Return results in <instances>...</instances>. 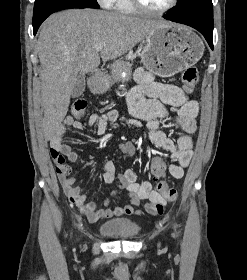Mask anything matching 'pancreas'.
Masks as SVG:
<instances>
[{
  "label": "pancreas",
  "instance_id": "obj_1",
  "mask_svg": "<svg viewBox=\"0 0 247 280\" xmlns=\"http://www.w3.org/2000/svg\"><path fill=\"white\" fill-rule=\"evenodd\" d=\"M136 56H137L136 53L134 54L133 52H129V53L126 55V59H127V60L133 61V60L136 58Z\"/></svg>",
  "mask_w": 247,
  "mask_h": 280
}]
</instances>
